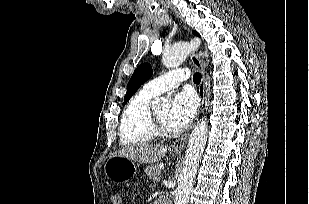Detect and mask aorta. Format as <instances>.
<instances>
[{
  "instance_id": "762f6f07",
  "label": "aorta",
  "mask_w": 309,
  "mask_h": 204,
  "mask_svg": "<svg viewBox=\"0 0 309 204\" xmlns=\"http://www.w3.org/2000/svg\"><path fill=\"white\" fill-rule=\"evenodd\" d=\"M193 45L188 42H180L164 50L162 61L166 68H176L187 58ZM165 104L164 99H157L153 107L157 108ZM208 124L207 119L202 118L194 127L187 145L182 173L175 193L174 204H187L191 193L194 179L207 141Z\"/></svg>"
}]
</instances>
